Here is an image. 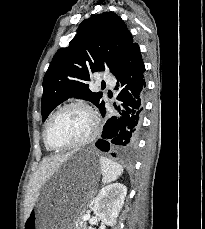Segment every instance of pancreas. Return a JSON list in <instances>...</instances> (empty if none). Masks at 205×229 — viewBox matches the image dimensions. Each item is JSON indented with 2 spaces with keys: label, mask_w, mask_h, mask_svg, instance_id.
Returning <instances> with one entry per match:
<instances>
[{
  "label": "pancreas",
  "mask_w": 205,
  "mask_h": 229,
  "mask_svg": "<svg viewBox=\"0 0 205 229\" xmlns=\"http://www.w3.org/2000/svg\"><path fill=\"white\" fill-rule=\"evenodd\" d=\"M76 229H86V223L80 219L76 222Z\"/></svg>",
  "instance_id": "obj_1"
}]
</instances>
